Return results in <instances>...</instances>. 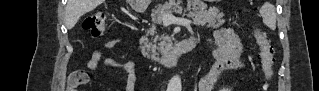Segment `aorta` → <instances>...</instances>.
I'll return each mask as SVG.
<instances>
[{
  "label": "aorta",
  "mask_w": 319,
  "mask_h": 91,
  "mask_svg": "<svg viewBox=\"0 0 319 91\" xmlns=\"http://www.w3.org/2000/svg\"><path fill=\"white\" fill-rule=\"evenodd\" d=\"M181 88V78L178 75L172 77V79L169 82L168 89H170L171 91H181Z\"/></svg>",
  "instance_id": "762f6f07"
}]
</instances>
